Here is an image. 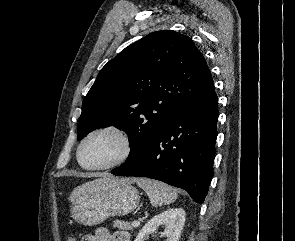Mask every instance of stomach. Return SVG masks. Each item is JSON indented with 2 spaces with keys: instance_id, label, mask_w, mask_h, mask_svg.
Wrapping results in <instances>:
<instances>
[{
  "instance_id": "1",
  "label": "stomach",
  "mask_w": 295,
  "mask_h": 241,
  "mask_svg": "<svg viewBox=\"0 0 295 241\" xmlns=\"http://www.w3.org/2000/svg\"><path fill=\"white\" fill-rule=\"evenodd\" d=\"M139 191L125 179H113L94 185L79 194L71 208L72 218L79 224L94 226L113 216H123L139 204Z\"/></svg>"
}]
</instances>
